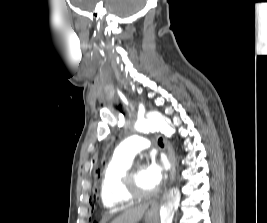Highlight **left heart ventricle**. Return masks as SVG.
I'll return each instance as SVG.
<instances>
[{
    "label": "left heart ventricle",
    "instance_id": "left-heart-ventricle-1",
    "mask_svg": "<svg viewBox=\"0 0 267 223\" xmlns=\"http://www.w3.org/2000/svg\"><path fill=\"white\" fill-rule=\"evenodd\" d=\"M136 187L141 192H152L156 188L146 178L145 168L141 167L135 172Z\"/></svg>",
    "mask_w": 267,
    "mask_h": 223
}]
</instances>
